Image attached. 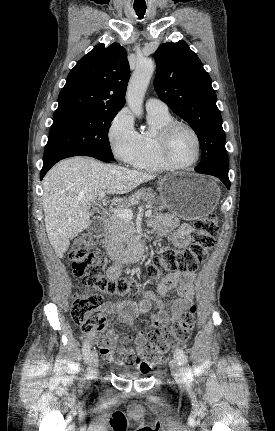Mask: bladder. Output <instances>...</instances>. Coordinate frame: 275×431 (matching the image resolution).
Listing matches in <instances>:
<instances>
[{
	"mask_svg": "<svg viewBox=\"0 0 275 431\" xmlns=\"http://www.w3.org/2000/svg\"><path fill=\"white\" fill-rule=\"evenodd\" d=\"M131 375H133V376H140V375H142V374H140V373H131Z\"/></svg>",
	"mask_w": 275,
	"mask_h": 431,
	"instance_id": "1",
	"label": "bladder"
}]
</instances>
